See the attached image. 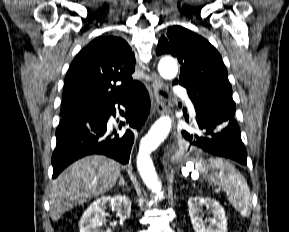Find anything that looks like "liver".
Returning a JSON list of instances; mask_svg holds the SVG:
<instances>
[{
  "label": "liver",
  "mask_w": 289,
  "mask_h": 232,
  "mask_svg": "<svg viewBox=\"0 0 289 232\" xmlns=\"http://www.w3.org/2000/svg\"><path fill=\"white\" fill-rule=\"evenodd\" d=\"M120 176V164L103 155L79 159L65 169L50 190V213L53 221L69 209L108 192Z\"/></svg>",
  "instance_id": "6515ba94"
}]
</instances>
